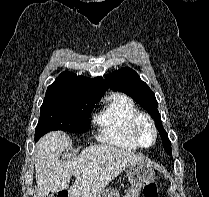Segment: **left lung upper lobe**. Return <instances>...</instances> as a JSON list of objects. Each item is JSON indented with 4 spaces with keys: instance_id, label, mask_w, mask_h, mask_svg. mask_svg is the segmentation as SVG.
Segmentation results:
<instances>
[{
    "instance_id": "left-lung-upper-lobe-1",
    "label": "left lung upper lobe",
    "mask_w": 209,
    "mask_h": 197,
    "mask_svg": "<svg viewBox=\"0 0 209 197\" xmlns=\"http://www.w3.org/2000/svg\"><path fill=\"white\" fill-rule=\"evenodd\" d=\"M110 89L123 92L131 96L142 108L147 110L155 119L156 127L160 133L165 151L171 155V142L162 126L160 113L158 112V103L155 94L149 86L143 82L138 74L131 68H121L105 77Z\"/></svg>"
}]
</instances>
